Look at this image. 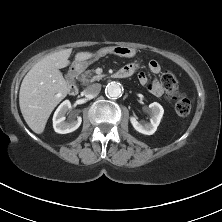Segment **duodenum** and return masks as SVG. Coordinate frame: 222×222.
<instances>
[{"label":"duodenum","instance_id":"duodenum-1","mask_svg":"<svg viewBox=\"0 0 222 222\" xmlns=\"http://www.w3.org/2000/svg\"><path fill=\"white\" fill-rule=\"evenodd\" d=\"M71 77L73 79V83L69 86V93L73 96L77 95L79 92L78 85L74 82L75 79L80 75L82 72V67L80 65H76L71 69ZM131 75V71L119 69L113 74L114 78H126Z\"/></svg>","mask_w":222,"mask_h":222}]
</instances>
